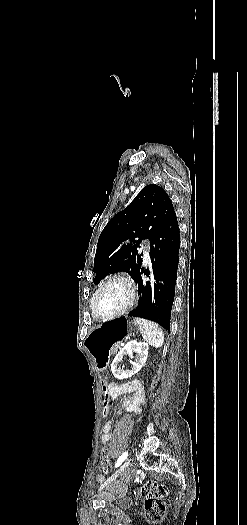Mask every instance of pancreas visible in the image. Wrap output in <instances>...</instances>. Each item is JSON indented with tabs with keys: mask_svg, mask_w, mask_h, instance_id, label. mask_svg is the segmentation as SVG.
I'll return each instance as SVG.
<instances>
[{
	"mask_svg": "<svg viewBox=\"0 0 247 525\" xmlns=\"http://www.w3.org/2000/svg\"><path fill=\"white\" fill-rule=\"evenodd\" d=\"M110 351L112 352V355H115V352L117 351V348L115 346H112L110 348Z\"/></svg>",
	"mask_w": 247,
	"mask_h": 525,
	"instance_id": "1",
	"label": "pancreas"
}]
</instances>
